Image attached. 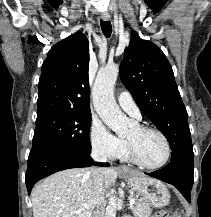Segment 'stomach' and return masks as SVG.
Instances as JSON below:
<instances>
[{
	"instance_id": "obj_1",
	"label": "stomach",
	"mask_w": 211,
	"mask_h": 217,
	"mask_svg": "<svg viewBox=\"0 0 211 217\" xmlns=\"http://www.w3.org/2000/svg\"><path fill=\"white\" fill-rule=\"evenodd\" d=\"M122 177L132 190L147 200L150 205L162 208L169 203L170 194L163 182L145 177L137 172L122 173Z\"/></svg>"
}]
</instances>
